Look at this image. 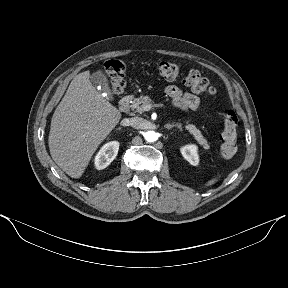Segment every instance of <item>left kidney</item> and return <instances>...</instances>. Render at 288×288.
I'll list each match as a JSON object with an SVG mask.
<instances>
[{"instance_id":"left-kidney-1","label":"left kidney","mask_w":288,"mask_h":288,"mask_svg":"<svg viewBox=\"0 0 288 288\" xmlns=\"http://www.w3.org/2000/svg\"><path fill=\"white\" fill-rule=\"evenodd\" d=\"M182 156L193 166L199 164L198 147L194 144L186 145L180 149Z\"/></svg>"}]
</instances>
